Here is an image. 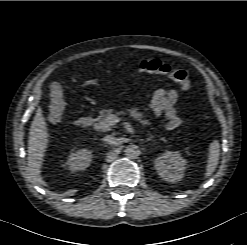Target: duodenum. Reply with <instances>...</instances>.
I'll list each match as a JSON object with an SVG mask.
<instances>
[{"instance_id":"1","label":"duodenum","mask_w":247,"mask_h":245,"mask_svg":"<svg viewBox=\"0 0 247 245\" xmlns=\"http://www.w3.org/2000/svg\"><path fill=\"white\" fill-rule=\"evenodd\" d=\"M90 124H91V119L87 116H81L75 122V125L79 128H86L90 126Z\"/></svg>"}]
</instances>
